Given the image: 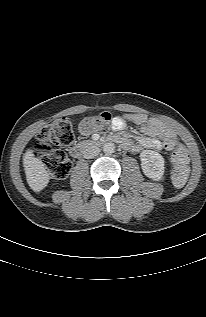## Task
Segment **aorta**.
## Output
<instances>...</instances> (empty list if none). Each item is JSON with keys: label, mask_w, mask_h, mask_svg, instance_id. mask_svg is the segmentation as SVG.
Here are the masks:
<instances>
[{"label": "aorta", "mask_w": 206, "mask_h": 317, "mask_svg": "<svg viewBox=\"0 0 206 317\" xmlns=\"http://www.w3.org/2000/svg\"><path fill=\"white\" fill-rule=\"evenodd\" d=\"M103 151L106 154L114 153V151H115L114 143H111V142L105 143L104 146H103Z\"/></svg>", "instance_id": "762f6f07"}]
</instances>
